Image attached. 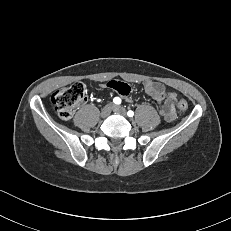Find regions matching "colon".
<instances>
[{
  "instance_id": "1",
  "label": "colon",
  "mask_w": 231,
  "mask_h": 231,
  "mask_svg": "<svg viewBox=\"0 0 231 231\" xmlns=\"http://www.w3.org/2000/svg\"><path fill=\"white\" fill-rule=\"evenodd\" d=\"M87 96L86 86L82 82H75L70 86L56 90L52 96L51 101L59 115L63 120L72 118L74 111ZM177 107L184 112L188 109V102L185 99H179Z\"/></svg>"
}]
</instances>
